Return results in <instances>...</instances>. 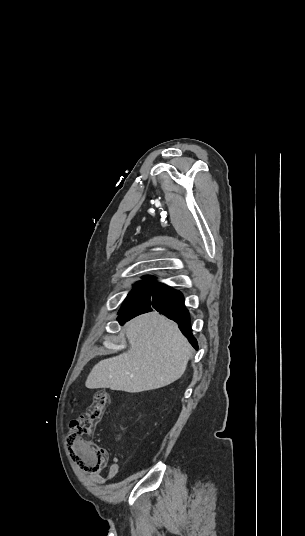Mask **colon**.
I'll return each instance as SVG.
<instances>
[{"mask_svg":"<svg viewBox=\"0 0 305 536\" xmlns=\"http://www.w3.org/2000/svg\"><path fill=\"white\" fill-rule=\"evenodd\" d=\"M108 402L109 394L106 391H98L87 412L73 420L69 435L63 436V445L71 447L68 458L72 462L73 471H107V450L103 446H95L90 436L101 422Z\"/></svg>","mask_w":305,"mask_h":536,"instance_id":"1","label":"colon"}]
</instances>
